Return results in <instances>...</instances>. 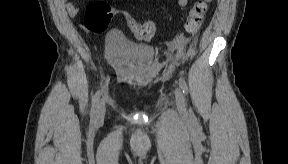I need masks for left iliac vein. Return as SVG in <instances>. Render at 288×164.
<instances>
[{
	"mask_svg": "<svg viewBox=\"0 0 288 164\" xmlns=\"http://www.w3.org/2000/svg\"><path fill=\"white\" fill-rule=\"evenodd\" d=\"M176 105L179 111V114L182 118L187 119L189 117L186 102L182 91L179 88L175 89Z\"/></svg>",
	"mask_w": 288,
	"mask_h": 164,
	"instance_id": "1",
	"label": "left iliac vein"
}]
</instances>
